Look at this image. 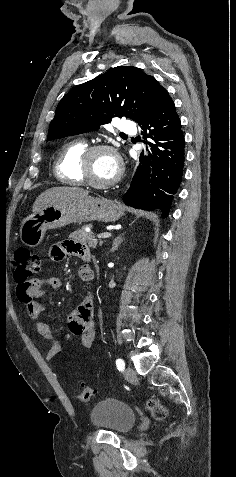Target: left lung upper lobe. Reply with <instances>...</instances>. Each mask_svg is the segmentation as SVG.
Segmentation results:
<instances>
[{
  "label": "left lung upper lobe",
  "mask_w": 236,
  "mask_h": 477,
  "mask_svg": "<svg viewBox=\"0 0 236 477\" xmlns=\"http://www.w3.org/2000/svg\"><path fill=\"white\" fill-rule=\"evenodd\" d=\"M162 86L134 66H118L69 91L50 123L48 141L98 129L114 117L139 125L151 113Z\"/></svg>",
  "instance_id": "1"
}]
</instances>
